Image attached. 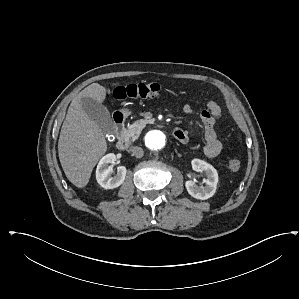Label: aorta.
<instances>
[{
	"label": "aorta",
	"instance_id": "obj_1",
	"mask_svg": "<svg viewBox=\"0 0 299 299\" xmlns=\"http://www.w3.org/2000/svg\"><path fill=\"white\" fill-rule=\"evenodd\" d=\"M166 143V135L160 130H151L145 136V145L151 151H161L166 146Z\"/></svg>",
	"mask_w": 299,
	"mask_h": 299
}]
</instances>
